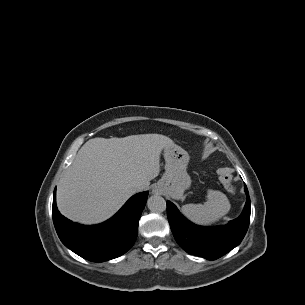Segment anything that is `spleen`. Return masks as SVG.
Segmentation results:
<instances>
[{"label": "spleen", "instance_id": "spleen-1", "mask_svg": "<svg viewBox=\"0 0 305 305\" xmlns=\"http://www.w3.org/2000/svg\"><path fill=\"white\" fill-rule=\"evenodd\" d=\"M208 201L204 204H186L181 212L192 222L199 225H210L223 217L230 209L225 194L220 191L208 190Z\"/></svg>", "mask_w": 305, "mask_h": 305}]
</instances>
